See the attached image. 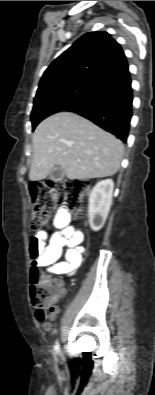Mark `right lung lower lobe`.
I'll return each instance as SVG.
<instances>
[{
  "mask_svg": "<svg viewBox=\"0 0 155 395\" xmlns=\"http://www.w3.org/2000/svg\"><path fill=\"white\" fill-rule=\"evenodd\" d=\"M132 100L128 69L108 76L94 92L65 111L78 113L126 142L132 117Z\"/></svg>",
  "mask_w": 155,
  "mask_h": 395,
  "instance_id": "obj_1",
  "label": "right lung lower lobe"
}]
</instances>
